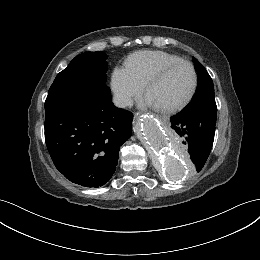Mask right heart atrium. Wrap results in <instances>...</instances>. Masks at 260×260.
<instances>
[{"label":"right heart atrium","instance_id":"right-heart-atrium-1","mask_svg":"<svg viewBox=\"0 0 260 260\" xmlns=\"http://www.w3.org/2000/svg\"><path fill=\"white\" fill-rule=\"evenodd\" d=\"M112 89L119 105L126 107L143 90V85L135 81L125 68H115L112 74Z\"/></svg>","mask_w":260,"mask_h":260}]
</instances>
